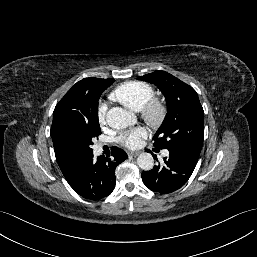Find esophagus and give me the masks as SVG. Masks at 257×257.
<instances>
[{
    "label": "esophagus",
    "instance_id": "34e87169",
    "mask_svg": "<svg viewBox=\"0 0 257 257\" xmlns=\"http://www.w3.org/2000/svg\"><path fill=\"white\" fill-rule=\"evenodd\" d=\"M139 154H140L139 151H135V152L131 151V152H128V155H129V156H133V157H136V156H138Z\"/></svg>",
    "mask_w": 257,
    "mask_h": 257
}]
</instances>
